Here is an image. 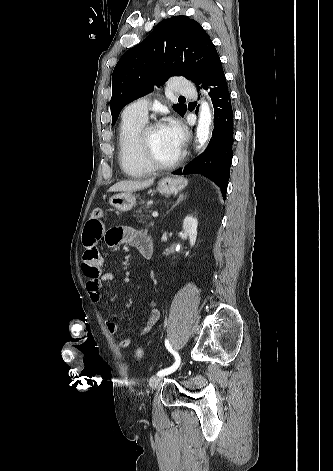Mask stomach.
<instances>
[{
    "mask_svg": "<svg viewBox=\"0 0 333 471\" xmlns=\"http://www.w3.org/2000/svg\"><path fill=\"white\" fill-rule=\"evenodd\" d=\"M187 183L184 178H163L158 183V191L162 195L177 194L186 187ZM109 203L115 209L127 212L136 206V197L131 192L119 193L112 196Z\"/></svg>",
    "mask_w": 333,
    "mask_h": 471,
    "instance_id": "obj_1",
    "label": "stomach"
}]
</instances>
